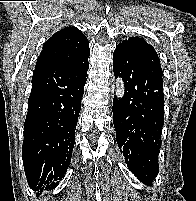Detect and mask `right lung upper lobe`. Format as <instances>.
I'll return each instance as SVG.
<instances>
[{
    "instance_id": "right-lung-upper-lobe-1",
    "label": "right lung upper lobe",
    "mask_w": 196,
    "mask_h": 201,
    "mask_svg": "<svg viewBox=\"0 0 196 201\" xmlns=\"http://www.w3.org/2000/svg\"><path fill=\"white\" fill-rule=\"evenodd\" d=\"M89 55L88 39L76 27H66L45 42L35 71L53 67L80 66L88 62Z\"/></svg>"
}]
</instances>
